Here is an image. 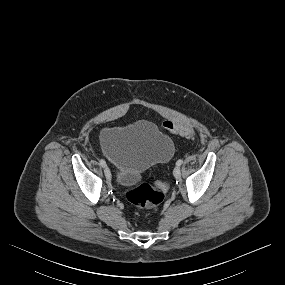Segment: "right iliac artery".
<instances>
[{
  "instance_id": "right-iliac-artery-1",
  "label": "right iliac artery",
  "mask_w": 285,
  "mask_h": 285,
  "mask_svg": "<svg viewBox=\"0 0 285 285\" xmlns=\"http://www.w3.org/2000/svg\"><path fill=\"white\" fill-rule=\"evenodd\" d=\"M100 165H101L102 167H106V162H105L104 159H101V160H100Z\"/></svg>"
}]
</instances>
